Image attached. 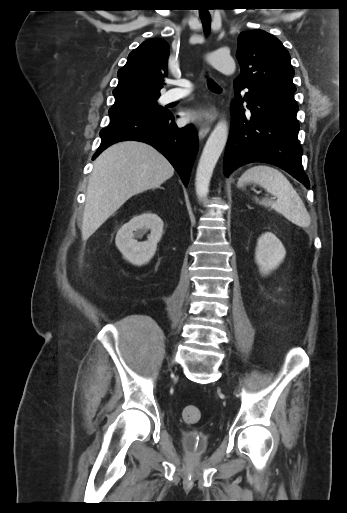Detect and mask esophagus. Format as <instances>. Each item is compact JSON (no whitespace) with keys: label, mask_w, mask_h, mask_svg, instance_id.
Listing matches in <instances>:
<instances>
[{"label":"esophagus","mask_w":347,"mask_h":513,"mask_svg":"<svg viewBox=\"0 0 347 513\" xmlns=\"http://www.w3.org/2000/svg\"><path fill=\"white\" fill-rule=\"evenodd\" d=\"M216 113V109H215V106L213 105H210L209 106V109H208V115L207 117L200 121L199 123V132H198V137L199 139H203L210 131L211 129V124H212V115H214Z\"/></svg>","instance_id":"esophagus-1"}]
</instances>
